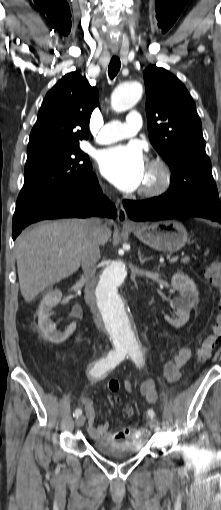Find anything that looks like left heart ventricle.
I'll return each instance as SVG.
<instances>
[{
    "instance_id": "b2bd125f",
    "label": "left heart ventricle",
    "mask_w": 221,
    "mask_h": 510,
    "mask_svg": "<svg viewBox=\"0 0 221 510\" xmlns=\"http://www.w3.org/2000/svg\"><path fill=\"white\" fill-rule=\"evenodd\" d=\"M157 178V173L147 167L141 188L154 185L157 181Z\"/></svg>"
}]
</instances>
